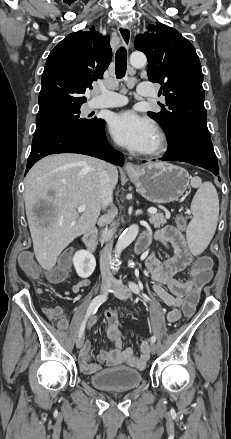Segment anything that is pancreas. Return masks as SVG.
<instances>
[{
    "instance_id": "obj_1",
    "label": "pancreas",
    "mask_w": 231,
    "mask_h": 439,
    "mask_svg": "<svg viewBox=\"0 0 231 439\" xmlns=\"http://www.w3.org/2000/svg\"><path fill=\"white\" fill-rule=\"evenodd\" d=\"M149 221L150 224H152L155 228H160L167 222L166 218L161 213L152 214L149 218ZM111 232L112 230H108L107 227L104 230H102L101 239H100L101 242L108 240L109 237L111 236Z\"/></svg>"
}]
</instances>
